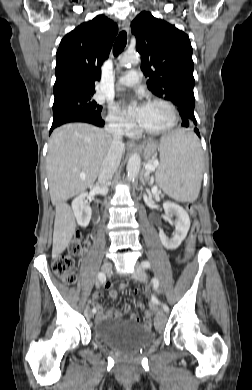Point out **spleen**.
Listing matches in <instances>:
<instances>
[{"label": "spleen", "instance_id": "spleen-1", "mask_svg": "<svg viewBox=\"0 0 252 390\" xmlns=\"http://www.w3.org/2000/svg\"><path fill=\"white\" fill-rule=\"evenodd\" d=\"M161 165L156 172L160 188L178 202L197 199L202 181L203 156L196 136L179 129L161 138Z\"/></svg>", "mask_w": 252, "mask_h": 390}]
</instances>
